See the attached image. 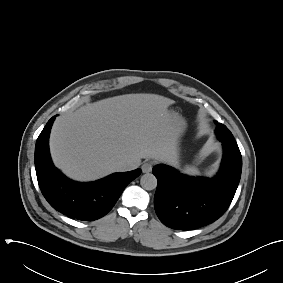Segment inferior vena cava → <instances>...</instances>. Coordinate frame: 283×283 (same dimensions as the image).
Returning <instances> with one entry per match:
<instances>
[{
	"label": "inferior vena cava",
	"instance_id": "obj_1",
	"mask_svg": "<svg viewBox=\"0 0 283 283\" xmlns=\"http://www.w3.org/2000/svg\"><path fill=\"white\" fill-rule=\"evenodd\" d=\"M137 168L136 164L129 160H120L117 162L118 171H129Z\"/></svg>",
	"mask_w": 283,
	"mask_h": 283
}]
</instances>
